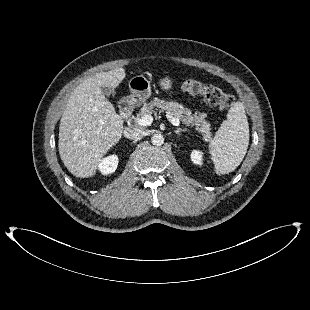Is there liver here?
Returning a JSON list of instances; mask_svg holds the SVG:
<instances>
[{
  "label": "liver",
  "instance_id": "6515ba94",
  "mask_svg": "<svg viewBox=\"0 0 310 310\" xmlns=\"http://www.w3.org/2000/svg\"><path fill=\"white\" fill-rule=\"evenodd\" d=\"M123 68L97 73L71 93L59 126V154L74 176L91 177L98 163L122 137L123 119L101 91L125 79Z\"/></svg>",
  "mask_w": 310,
  "mask_h": 310
}]
</instances>
